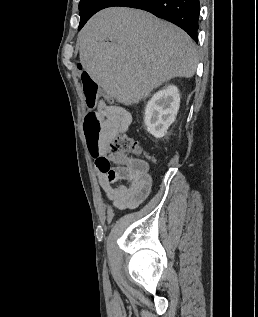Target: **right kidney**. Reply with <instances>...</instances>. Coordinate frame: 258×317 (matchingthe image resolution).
I'll return each instance as SVG.
<instances>
[{
  "label": "right kidney",
  "instance_id": "obj_1",
  "mask_svg": "<svg viewBox=\"0 0 258 317\" xmlns=\"http://www.w3.org/2000/svg\"><path fill=\"white\" fill-rule=\"evenodd\" d=\"M179 106V88L174 84H168L166 88L155 92L145 108L144 122L148 132L156 138L165 136L170 124L176 118Z\"/></svg>",
  "mask_w": 258,
  "mask_h": 317
}]
</instances>
